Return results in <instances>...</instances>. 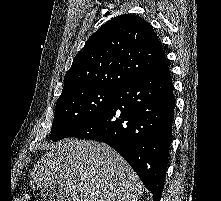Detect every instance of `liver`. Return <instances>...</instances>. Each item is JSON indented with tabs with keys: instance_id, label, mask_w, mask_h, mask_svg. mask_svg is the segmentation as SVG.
Masks as SVG:
<instances>
[{
	"instance_id": "1",
	"label": "liver",
	"mask_w": 221,
	"mask_h": 201,
	"mask_svg": "<svg viewBox=\"0 0 221 201\" xmlns=\"http://www.w3.org/2000/svg\"><path fill=\"white\" fill-rule=\"evenodd\" d=\"M57 184L68 201H137L143 184L130 165L110 146L78 139L52 145L31 173L33 189Z\"/></svg>"
}]
</instances>
